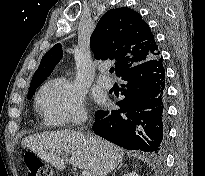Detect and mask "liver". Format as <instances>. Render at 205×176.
Instances as JSON below:
<instances>
[{
    "label": "liver",
    "mask_w": 205,
    "mask_h": 176,
    "mask_svg": "<svg viewBox=\"0 0 205 176\" xmlns=\"http://www.w3.org/2000/svg\"><path fill=\"white\" fill-rule=\"evenodd\" d=\"M22 145L60 170L65 164L58 153L70 154L71 164L88 171L91 176H106L121 164L124 156L121 147L100 137H86L70 130L29 135L22 139Z\"/></svg>",
    "instance_id": "6515ba94"
}]
</instances>
